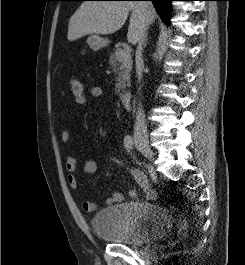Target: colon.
<instances>
[{"label":"colon","mask_w":245,"mask_h":265,"mask_svg":"<svg viewBox=\"0 0 245 265\" xmlns=\"http://www.w3.org/2000/svg\"><path fill=\"white\" fill-rule=\"evenodd\" d=\"M69 87H70V92L73 96L74 102L80 106L85 105L87 102V95H86L84 84L81 82V80L77 78L70 79ZM110 159L114 163L118 165H122V162L118 158L110 157Z\"/></svg>","instance_id":"obj_1"}]
</instances>
